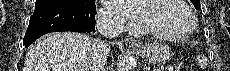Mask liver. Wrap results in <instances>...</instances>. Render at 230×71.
<instances>
[{
  "mask_svg": "<svg viewBox=\"0 0 230 71\" xmlns=\"http://www.w3.org/2000/svg\"><path fill=\"white\" fill-rule=\"evenodd\" d=\"M92 40L74 32L47 34L26 54L23 71H85Z\"/></svg>",
  "mask_w": 230,
  "mask_h": 71,
  "instance_id": "obj_1",
  "label": "liver"
}]
</instances>
